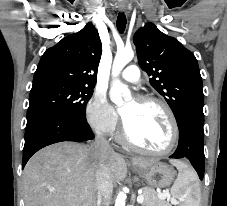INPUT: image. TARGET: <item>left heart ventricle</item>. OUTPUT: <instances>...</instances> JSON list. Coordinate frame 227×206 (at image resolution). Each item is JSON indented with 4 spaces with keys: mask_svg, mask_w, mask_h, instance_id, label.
<instances>
[{
    "mask_svg": "<svg viewBox=\"0 0 227 206\" xmlns=\"http://www.w3.org/2000/svg\"><path fill=\"white\" fill-rule=\"evenodd\" d=\"M121 112L127 131L137 144L149 150H162L169 145L171 125L161 107L131 100Z\"/></svg>",
    "mask_w": 227,
    "mask_h": 206,
    "instance_id": "b2bd125f",
    "label": "left heart ventricle"
}]
</instances>
